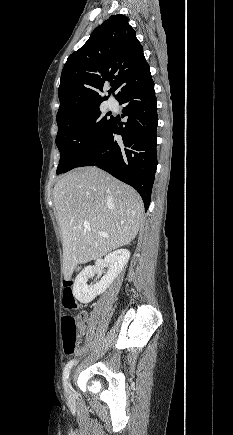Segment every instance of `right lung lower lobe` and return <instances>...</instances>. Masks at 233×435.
<instances>
[{
    "mask_svg": "<svg viewBox=\"0 0 233 435\" xmlns=\"http://www.w3.org/2000/svg\"><path fill=\"white\" fill-rule=\"evenodd\" d=\"M118 101L126 104L124 126L113 120L106 135L77 167L97 166L135 188L147 211L157 168L158 124L154 82L149 73L129 85ZM122 136L118 143L115 136Z\"/></svg>",
    "mask_w": 233,
    "mask_h": 435,
    "instance_id": "obj_1",
    "label": "right lung lower lobe"
}]
</instances>
